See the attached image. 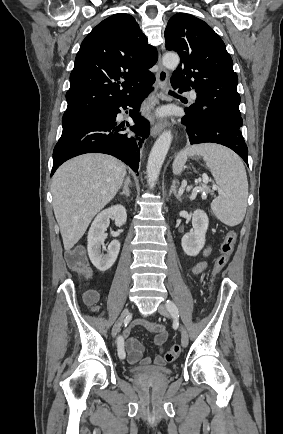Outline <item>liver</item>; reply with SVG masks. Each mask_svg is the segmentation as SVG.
Returning <instances> with one entry per match:
<instances>
[{"label":"liver","instance_id":"6515ba94","mask_svg":"<svg viewBox=\"0 0 283 434\" xmlns=\"http://www.w3.org/2000/svg\"><path fill=\"white\" fill-rule=\"evenodd\" d=\"M126 175L118 159L100 153L75 157L55 172L51 192L64 249L82 238L94 216L117 194Z\"/></svg>","mask_w":283,"mask_h":434}]
</instances>
